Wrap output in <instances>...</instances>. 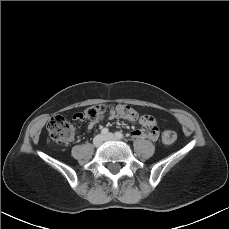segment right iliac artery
Masks as SVG:
<instances>
[{
    "label": "right iliac artery",
    "instance_id": "right-iliac-artery-1",
    "mask_svg": "<svg viewBox=\"0 0 229 229\" xmlns=\"http://www.w3.org/2000/svg\"><path fill=\"white\" fill-rule=\"evenodd\" d=\"M101 133H102L103 135H107V134L109 133V130H108L107 128H103V129L101 130Z\"/></svg>",
    "mask_w": 229,
    "mask_h": 229
}]
</instances>
